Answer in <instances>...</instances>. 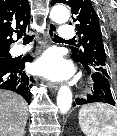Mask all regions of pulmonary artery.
<instances>
[{"mask_svg": "<svg viewBox=\"0 0 117 136\" xmlns=\"http://www.w3.org/2000/svg\"><path fill=\"white\" fill-rule=\"evenodd\" d=\"M75 35H76V31L71 26H68V25L61 26L59 36L62 39H73L75 37ZM25 51H27V48L18 47L15 49L16 53H23Z\"/></svg>", "mask_w": 117, "mask_h": 136, "instance_id": "e3ab8cb5", "label": "pulmonary artery"}]
</instances>
